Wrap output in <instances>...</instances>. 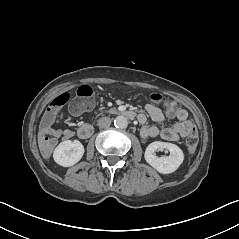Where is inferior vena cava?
<instances>
[{
	"mask_svg": "<svg viewBox=\"0 0 239 239\" xmlns=\"http://www.w3.org/2000/svg\"><path fill=\"white\" fill-rule=\"evenodd\" d=\"M111 125V119L109 117H102L98 120V126L100 128H108Z\"/></svg>",
	"mask_w": 239,
	"mask_h": 239,
	"instance_id": "inferior-vena-cava-1",
	"label": "inferior vena cava"
}]
</instances>
